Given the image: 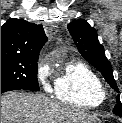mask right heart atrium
<instances>
[{
    "label": "right heart atrium",
    "mask_w": 122,
    "mask_h": 123,
    "mask_svg": "<svg viewBox=\"0 0 122 123\" xmlns=\"http://www.w3.org/2000/svg\"><path fill=\"white\" fill-rule=\"evenodd\" d=\"M36 80L43 91L47 93L52 91V69L49 59L42 58L39 60L36 68Z\"/></svg>",
    "instance_id": "d8ad5b80"
}]
</instances>
